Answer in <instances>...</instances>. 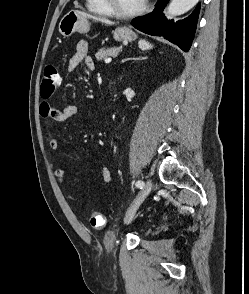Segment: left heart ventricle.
<instances>
[{"instance_id": "b2bd125f", "label": "left heart ventricle", "mask_w": 249, "mask_h": 294, "mask_svg": "<svg viewBox=\"0 0 249 294\" xmlns=\"http://www.w3.org/2000/svg\"><path fill=\"white\" fill-rule=\"evenodd\" d=\"M117 6L125 11H131L139 8L144 0H115Z\"/></svg>"}]
</instances>
